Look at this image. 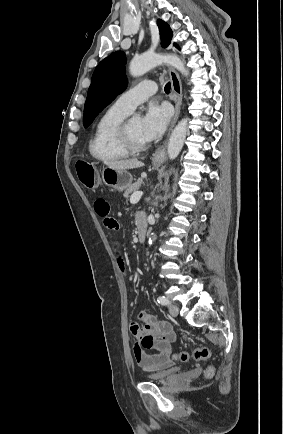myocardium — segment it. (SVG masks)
<instances>
[{"mask_svg":"<svg viewBox=\"0 0 283 434\" xmlns=\"http://www.w3.org/2000/svg\"><path fill=\"white\" fill-rule=\"evenodd\" d=\"M130 120L131 119H125L121 123L118 131L119 140L123 145V147L130 153H137V152L144 151L147 148V143L138 142L132 137L129 130Z\"/></svg>","mask_w":283,"mask_h":434,"instance_id":"1","label":"myocardium"}]
</instances>
